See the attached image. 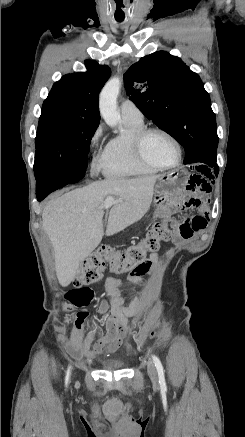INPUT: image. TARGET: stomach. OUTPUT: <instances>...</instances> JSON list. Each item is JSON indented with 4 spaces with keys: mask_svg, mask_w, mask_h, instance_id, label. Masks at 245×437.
Wrapping results in <instances>:
<instances>
[{
    "mask_svg": "<svg viewBox=\"0 0 245 437\" xmlns=\"http://www.w3.org/2000/svg\"><path fill=\"white\" fill-rule=\"evenodd\" d=\"M187 183V177L181 171H173L159 176L153 193V204L156 212H159L165 204V201L171 195L172 191L184 188Z\"/></svg>",
    "mask_w": 245,
    "mask_h": 437,
    "instance_id": "stomach-1",
    "label": "stomach"
}]
</instances>
